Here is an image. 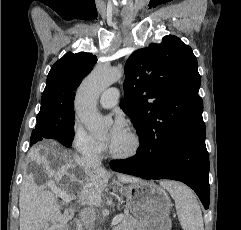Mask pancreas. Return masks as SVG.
I'll use <instances>...</instances> for the list:
<instances>
[{"instance_id":"cf45deb5","label":"pancreas","mask_w":241,"mask_h":230,"mask_svg":"<svg viewBox=\"0 0 241 230\" xmlns=\"http://www.w3.org/2000/svg\"><path fill=\"white\" fill-rule=\"evenodd\" d=\"M143 224L132 216H124L115 230H143Z\"/></svg>"}]
</instances>
